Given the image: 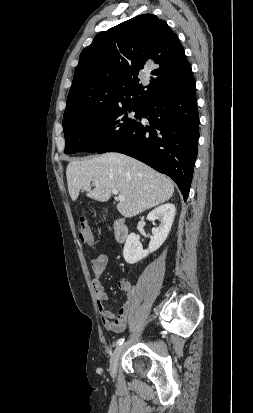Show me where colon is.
I'll return each mask as SVG.
<instances>
[{
    "label": "colon",
    "mask_w": 253,
    "mask_h": 413,
    "mask_svg": "<svg viewBox=\"0 0 253 413\" xmlns=\"http://www.w3.org/2000/svg\"><path fill=\"white\" fill-rule=\"evenodd\" d=\"M77 232L80 240L87 244V245H93L94 244V236L93 233L90 229V226L87 222V220L84 217H80V220L78 222L77 226Z\"/></svg>",
    "instance_id": "5ec220e1"
}]
</instances>
